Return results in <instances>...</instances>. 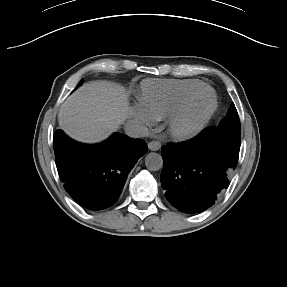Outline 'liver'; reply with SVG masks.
<instances>
[{"mask_svg": "<svg viewBox=\"0 0 287 287\" xmlns=\"http://www.w3.org/2000/svg\"><path fill=\"white\" fill-rule=\"evenodd\" d=\"M125 89L110 81H91L62 104L58 121L71 138L83 143L103 141L129 117Z\"/></svg>", "mask_w": 287, "mask_h": 287, "instance_id": "obj_1", "label": "liver"}]
</instances>
